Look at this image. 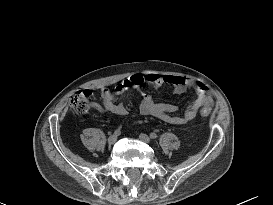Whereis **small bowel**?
<instances>
[{
	"mask_svg": "<svg viewBox=\"0 0 273 205\" xmlns=\"http://www.w3.org/2000/svg\"><path fill=\"white\" fill-rule=\"evenodd\" d=\"M145 83H149L154 87L169 85L177 95L184 94L187 90L193 89L197 97L187 104L181 115H177L178 107L172 103L156 102L150 94L142 89ZM131 87L137 89L141 95L140 112L143 115L154 116L171 124H186L195 118L200 108L209 107L213 104L212 93L209 88L201 82H194L190 79L175 75L133 74L118 83L113 90L102 89V104L94 105V109L99 112L126 115L128 110L118 101L117 96Z\"/></svg>",
	"mask_w": 273,
	"mask_h": 205,
	"instance_id": "small-bowel-1",
	"label": "small bowel"
}]
</instances>
